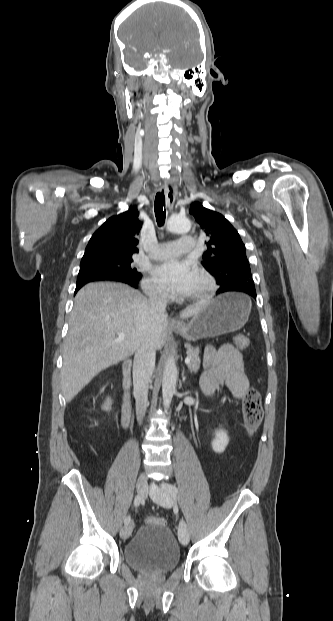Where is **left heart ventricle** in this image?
<instances>
[{
    "mask_svg": "<svg viewBox=\"0 0 333 621\" xmlns=\"http://www.w3.org/2000/svg\"><path fill=\"white\" fill-rule=\"evenodd\" d=\"M206 288V283L198 274L196 275L194 281L192 282L189 289L184 293V296H191L202 292Z\"/></svg>",
    "mask_w": 333,
    "mask_h": 621,
    "instance_id": "b2bd125f",
    "label": "left heart ventricle"
}]
</instances>
